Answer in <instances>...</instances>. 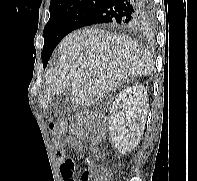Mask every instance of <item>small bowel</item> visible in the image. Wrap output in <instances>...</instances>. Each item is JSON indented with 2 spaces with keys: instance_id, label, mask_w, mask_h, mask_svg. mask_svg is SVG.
<instances>
[{
  "instance_id": "small-bowel-1",
  "label": "small bowel",
  "mask_w": 197,
  "mask_h": 181,
  "mask_svg": "<svg viewBox=\"0 0 197 181\" xmlns=\"http://www.w3.org/2000/svg\"><path fill=\"white\" fill-rule=\"evenodd\" d=\"M67 145H73L78 150H82V145L78 143L74 138L69 137L66 139ZM56 158L60 162V171L63 181H76L75 178V162L73 159L67 157L66 147H59L56 151Z\"/></svg>"
}]
</instances>
